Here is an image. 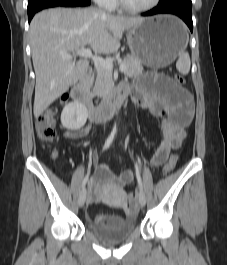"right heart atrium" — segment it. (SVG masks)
<instances>
[{
	"mask_svg": "<svg viewBox=\"0 0 227 265\" xmlns=\"http://www.w3.org/2000/svg\"><path fill=\"white\" fill-rule=\"evenodd\" d=\"M99 6L110 9L114 6L115 0H94Z\"/></svg>",
	"mask_w": 227,
	"mask_h": 265,
	"instance_id": "d8ad5b80",
	"label": "right heart atrium"
}]
</instances>
